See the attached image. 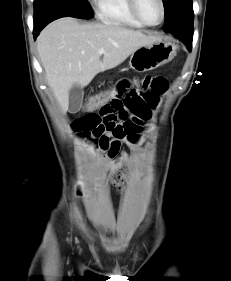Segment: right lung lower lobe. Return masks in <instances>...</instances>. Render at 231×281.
I'll return each instance as SVG.
<instances>
[{
  "mask_svg": "<svg viewBox=\"0 0 231 281\" xmlns=\"http://www.w3.org/2000/svg\"><path fill=\"white\" fill-rule=\"evenodd\" d=\"M75 13L62 5L50 4L43 11H41L37 16H34V39L38 36L39 32L51 21L64 17L73 16Z\"/></svg>",
  "mask_w": 231,
  "mask_h": 281,
  "instance_id": "obj_1",
  "label": "right lung lower lobe"
}]
</instances>
